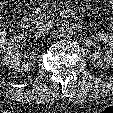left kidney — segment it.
<instances>
[{"mask_svg":"<svg viewBox=\"0 0 113 113\" xmlns=\"http://www.w3.org/2000/svg\"><path fill=\"white\" fill-rule=\"evenodd\" d=\"M98 41L107 43L109 49L106 50V54L101 57L99 52H95L89 55V59L94 64V66L101 68L113 67V35L108 33H99L97 37Z\"/></svg>","mask_w":113,"mask_h":113,"instance_id":"obj_1","label":"left kidney"}]
</instances>
